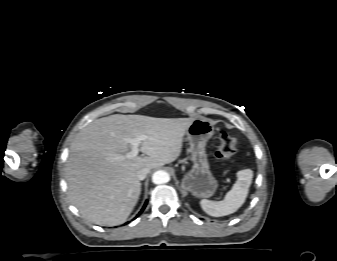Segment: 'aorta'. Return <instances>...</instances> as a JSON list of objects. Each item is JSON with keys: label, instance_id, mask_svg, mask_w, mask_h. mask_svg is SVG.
I'll list each match as a JSON object with an SVG mask.
<instances>
[{"label": "aorta", "instance_id": "obj_1", "mask_svg": "<svg viewBox=\"0 0 337 261\" xmlns=\"http://www.w3.org/2000/svg\"><path fill=\"white\" fill-rule=\"evenodd\" d=\"M170 180V176L166 171L158 170L152 176V181L155 184H164Z\"/></svg>", "mask_w": 337, "mask_h": 261}]
</instances>
